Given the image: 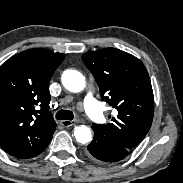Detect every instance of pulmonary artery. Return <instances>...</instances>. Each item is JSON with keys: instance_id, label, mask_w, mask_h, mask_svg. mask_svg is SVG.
Returning <instances> with one entry per match:
<instances>
[{"instance_id": "e3ab8cb5", "label": "pulmonary artery", "mask_w": 183, "mask_h": 183, "mask_svg": "<svg viewBox=\"0 0 183 183\" xmlns=\"http://www.w3.org/2000/svg\"><path fill=\"white\" fill-rule=\"evenodd\" d=\"M84 109L88 116L96 123L103 119L102 109L100 103L94 98L92 93H87L83 102Z\"/></svg>"}]
</instances>
